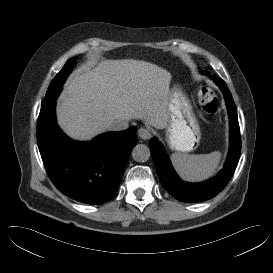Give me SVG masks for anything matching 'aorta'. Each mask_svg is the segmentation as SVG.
<instances>
[{"mask_svg":"<svg viewBox=\"0 0 273 273\" xmlns=\"http://www.w3.org/2000/svg\"><path fill=\"white\" fill-rule=\"evenodd\" d=\"M150 149L145 144H137L132 150V157L137 162H146L150 158Z\"/></svg>","mask_w":273,"mask_h":273,"instance_id":"762f6f07","label":"aorta"}]
</instances>
